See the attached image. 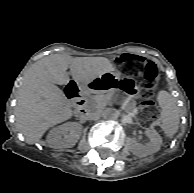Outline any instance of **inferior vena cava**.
Wrapping results in <instances>:
<instances>
[{
    "label": "inferior vena cava",
    "mask_w": 194,
    "mask_h": 193,
    "mask_svg": "<svg viewBox=\"0 0 194 193\" xmlns=\"http://www.w3.org/2000/svg\"><path fill=\"white\" fill-rule=\"evenodd\" d=\"M96 117H97L96 113H88L86 116L87 119H94Z\"/></svg>",
    "instance_id": "inferior-vena-cava-1"
}]
</instances>
